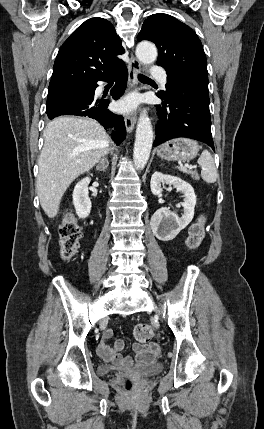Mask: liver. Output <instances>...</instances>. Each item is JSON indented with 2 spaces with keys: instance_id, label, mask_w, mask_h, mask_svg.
<instances>
[{
  "instance_id": "6515ba94",
  "label": "liver",
  "mask_w": 264,
  "mask_h": 429,
  "mask_svg": "<svg viewBox=\"0 0 264 429\" xmlns=\"http://www.w3.org/2000/svg\"><path fill=\"white\" fill-rule=\"evenodd\" d=\"M43 136L36 191L44 212L54 218L70 184L107 154L110 137L97 121L70 116L50 121Z\"/></svg>"
}]
</instances>
